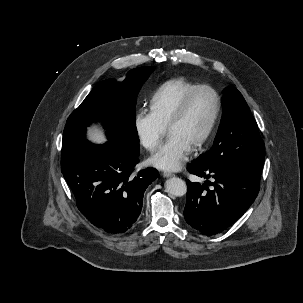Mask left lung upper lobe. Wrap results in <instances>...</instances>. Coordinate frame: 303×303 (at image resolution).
Here are the masks:
<instances>
[{
  "mask_svg": "<svg viewBox=\"0 0 303 303\" xmlns=\"http://www.w3.org/2000/svg\"><path fill=\"white\" fill-rule=\"evenodd\" d=\"M222 107L212 148L194 162L230 168L260 181L264 143L246 101L236 88L230 87L224 90Z\"/></svg>",
  "mask_w": 303,
  "mask_h": 303,
  "instance_id": "5c2ea615",
  "label": "left lung upper lobe"
}]
</instances>
